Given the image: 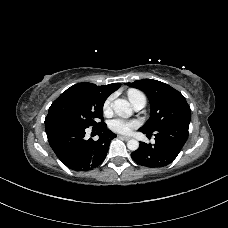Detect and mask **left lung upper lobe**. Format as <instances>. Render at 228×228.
<instances>
[{"instance_id":"5c2ea615","label":"left lung upper lobe","mask_w":228,"mask_h":228,"mask_svg":"<svg viewBox=\"0 0 228 228\" xmlns=\"http://www.w3.org/2000/svg\"><path fill=\"white\" fill-rule=\"evenodd\" d=\"M126 84L144 91L150 101V118L141 131L153 133L170 124L190 122L191 109L185 97L168 84L152 79Z\"/></svg>"}]
</instances>
